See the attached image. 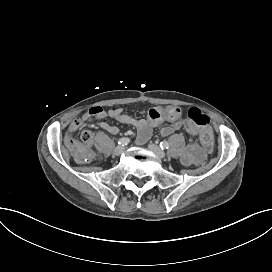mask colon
Instances as JSON below:
<instances>
[{
  "label": "colon",
  "mask_w": 272,
  "mask_h": 272,
  "mask_svg": "<svg viewBox=\"0 0 272 272\" xmlns=\"http://www.w3.org/2000/svg\"><path fill=\"white\" fill-rule=\"evenodd\" d=\"M185 125L191 135H201L202 142L207 149H211L214 143L211 120L204 115L200 107H191L187 111ZM91 142V133L88 131L81 133V140L73 142L71 151L73 155L81 158L88 151L87 144Z\"/></svg>",
  "instance_id": "5ec220e1"
}]
</instances>
